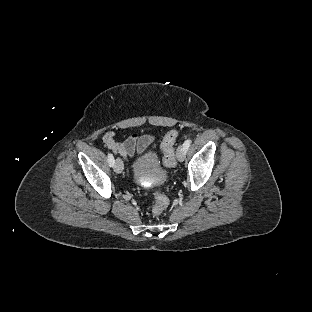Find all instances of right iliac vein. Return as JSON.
<instances>
[{
  "label": "right iliac vein",
  "mask_w": 312,
  "mask_h": 312,
  "mask_svg": "<svg viewBox=\"0 0 312 312\" xmlns=\"http://www.w3.org/2000/svg\"><path fill=\"white\" fill-rule=\"evenodd\" d=\"M122 170H123V162L120 158H117L114 163V171L119 174L122 172Z\"/></svg>",
  "instance_id": "1"
}]
</instances>
